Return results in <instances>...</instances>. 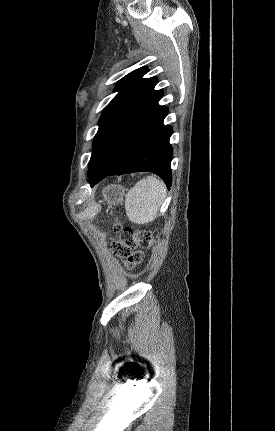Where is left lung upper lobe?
I'll return each mask as SVG.
<instances>
[{
    "label": "left lung upper lobe",
    "instance_id": "left-lung-upper-lobe-1",
    "mask_svg": "<svg viewBox=\"0 0 275 431\" xmlns=\"http://www.w3.org/2000/svg\"><path fill=\"white\" fill-rule=\"evenodd\" d=\"M147 67L138 68L118 81V94L105 107L93 140L89 178L105 171L122 149L160 112L162 90L156 77L143 78Z\"/></svg>",
    "mask_w": 275,
    "mask_h": 431
}]
</instances>
